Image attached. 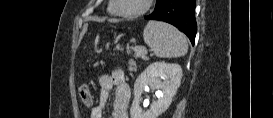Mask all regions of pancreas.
<instances>
[{
    "label": "pancreas",
    "mask_w": 273,
    "mask_h": 118,
    "mask_svg": "<svg viewBox=\"0 0 273 118\" xmlns=\"http://www.w3.org/2000/svg\"><path fill=\"white\" fill-rule=\"evenodd\" d=\"M134 52H135V57H140V56H143L144 55V49L141 48V47H135L134 48ZM128 69L130 72L132 71H136V65H135V62L134 60H130L129 61V66H128Z\"/></svg>",
    "instance_id": "pancreas-1"
}]
</instances>
